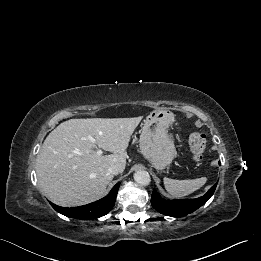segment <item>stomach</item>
I'll list each match as a JSON object with an SVG mask.
<instances>
[{
	"mask_svg": "<svg viewBox=\"0 0 261 261\" xmlns=\"http://www.w3.org/2000/svg\"><path fill=\"white\" fill-rule=\"evenodd\" d=\"M173 121V113L164 109L152 111L144 120L140 150L157 170L165 169L176 156L174 142L167 130Z\"/></svg>",
	"mask_w": 261,
	"mask_h": 261,
	"instance_id": "stomach-1",
	"label": "stomach"
}]
</instances>
